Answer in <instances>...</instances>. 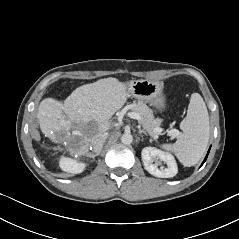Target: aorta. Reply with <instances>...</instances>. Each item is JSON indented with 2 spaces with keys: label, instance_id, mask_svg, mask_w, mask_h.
I'll list each match as a JSON object with an SVG mask.
<instances>
[{
  "label": "aorta",
  "instance_id": "762f6f07",
  "mask_svg": "<svg viewBox=\"0 0 239 239\" xmlns=\"http://www.w3.org/2000/svg\"><path fill=\"white\" fill-rule=\"evenodd\" d=\"M133 141V136L131 133H124L121 137V142L125 145L131 144Z\"/></svg>",
  "mask_w": 239,
  "mask_h": 239
}]
</instances>
